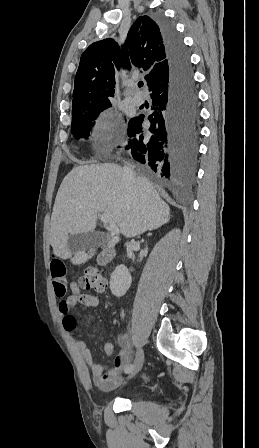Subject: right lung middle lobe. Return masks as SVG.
Masks as SVG:
<instances>
[{"mask_svg":"<svg viewBox=\"0 0 259 448\" xmlns=\"http://www.w3.org/2000/svg\"><path fill=\"white\" fill-rule=\"evenodd\" d=\"M111 107V104L87 108L72 112L71 133L76 139L88 138L90 136L91 127L94 120L104 109Z\"/></svg>","mask_w":259,"mask_h":448,"instance_id":"dd1d6c3e","label":"right lung middle lobe"}]
</instances>
